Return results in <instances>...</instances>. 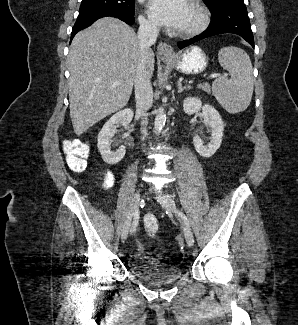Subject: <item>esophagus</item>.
<instances>
[{"instance_id":"34e87169","label":"esophagus","mask_w":298,"mask_h":325,"mask_svg":"<svg viewBox=\"0 0 298 325\" xmlns=\"http://www.w3.org/2000/svg\"><path fill=\"white\" fill-rule=\"evenodd\" d=\"M157 53L161 58H165L166 60L172 59L174 57L173 48L165 42H160L157 46Z\"/></svg>"}]
</instances>
